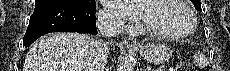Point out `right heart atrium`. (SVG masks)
Segmentation results:
<instances>
[{"label":"right heart atrium","mask_w":230,"mask_h":71,"mask_svg":"<svg viewBox=\"0 0 230 71\" xmlns=\"http://www.w3.org/2000/svg\"><path fill=\"white\" fill-rule=\"evenodd\" d=\"M100 17L103 20V22L108 26H112L115 28H121L124 24V21L120 15H118L115 12L109 11V10L101 11Z\"/></svg>","instance_id":"right-heart-atrium-1"}]
</instances>
